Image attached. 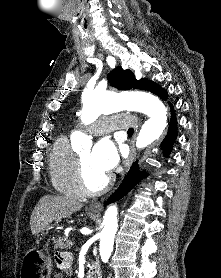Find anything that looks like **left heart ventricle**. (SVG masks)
I'll use <instances>...</instances> for the list:
<instances>
[{
  "mask_svg": "<svg viewBox=\"0 0 221 278\" xmlns=\"http://www.w3.org/2000/svg\"><path fill=\"white\" fill-rule=\"evenodd\" d=\"M85 168L86 179L91 188H98L107 178V174L98 170L92 163L90 149H85L79 153Z\"/></svg>",
  "mask_w": 221,
  "mask_h": 278,
  "instance_id": "1",
  "label": "left heart ventricle"
}]
</instances>
